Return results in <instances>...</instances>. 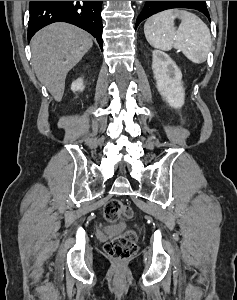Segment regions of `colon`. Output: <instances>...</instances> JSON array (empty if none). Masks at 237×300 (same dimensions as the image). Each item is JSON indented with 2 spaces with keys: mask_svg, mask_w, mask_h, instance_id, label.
Instances as JSON below:
<instances>
[{
  "mask_svg": "<svg viewBox=\"0 0 237 300\" xmlns=\"http://www.w3.org/2000/svg\"><path fill=\"white\" fill-rule=\"evenodd\" d=\"M103 216L107 221H115L120 217L130 219L133 211L118 199L109 200L103 207ZM105 252L112 259L124 262L130 259L136 252V235L129 230L123 235L112 238L105 244Z\"/></svg>",
  "mask_w": 237,
  "mask_h": 300,
  "instance_id": "1",
  "label": "colon"
}]
</instances>
